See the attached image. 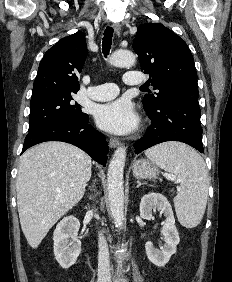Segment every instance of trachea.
<instances>
[{"label":"trachea","instance_id":"obj_1","mask_svg":"<svg viewBox=\"0 0 232 282\" xmlns=\"http://www.w3.org/2000/svg\"><path fill=\"white\" fill-rule=\"evenodd\" d=\"M113 32L114 29L112 27H107L103 33L102 51L105 57L108 56L111 49Z\"/></svg>","mask_w":232,"mask_h":282}]
</instances>
